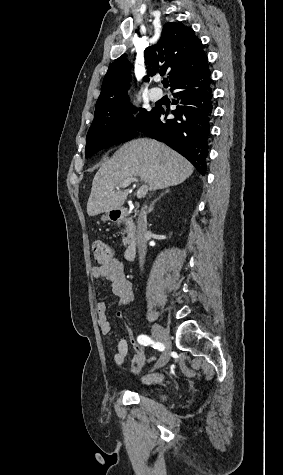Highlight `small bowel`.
<instances>
[{
    "mask_svg": "<svg viewBox=\"0 0 283 475\" xmlns=\"http://www.w3.org/2000/svg\"><path fill=\"white\" fill-rule=\"evenodd\" d=\"M90 274L96 279H106L111 282L112 292L118 298L121 306L127 305L133 299V290L130 280L127 278L124 265L119 259H113L105 265H94L90 268ZM97 315L100 331L104 335L110 334L112 327L107 319V304L103 301L98 302ZM120 315V313H118ZM131 343L133 344V357L130 373L137 376L141 369L149 366V361L141 346L133 339L132 331H128ZM129 355V345L126 339L120 338L117 343V352L114 354V362L118 366H122ZM164 380V375L155 371L145 375L142 382L147 385L159 384Z\"/></svg>",
    "mask_w": 283,
    "mask_h": 475,
    "instance_id": "c3829d8e",
    "label": "small bowel"
}]
</instances>
